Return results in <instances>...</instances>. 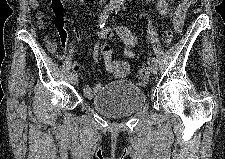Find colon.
<instances>
[{
  "label": "colon",
  "mask_w": 225,
  "mask_h": 159,
  "mask_svg": "<svg viewBox=\"0 0 225 159\" xmlns=\"http://www.w3.org/2000/svg\"><path fill=\"white\" fill-rule=\"evenodd\" d=\"M53 12L55 15V20H56V25L58 26H64V22H63V9H62V5L58 0H55L53 3ZM173 38V33L171 30H166L164 32V40L165 42L169 43ZM103 54L106 58L111 57V49L110 47H104L103 48ZM148 71H149V67L147 64H144L141 66V68L138 71V76L140 79L143 80V82H147L148 81Z\"/></svg>",
  "instance_id": "1"
}]
</instances>
